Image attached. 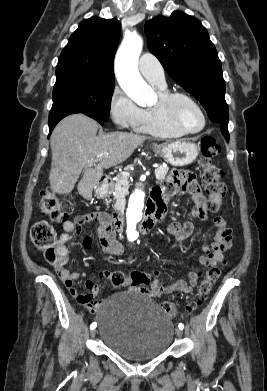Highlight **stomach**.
Here are the masks:
<instances>
[{
  "label": "stomach",
  "mask_w": 267,
  "mask_h": 391,
  "mask_svg": "<svg viewBox=\"0 0 267 391\" xmlns=\"http://www.w3.org/2000/svg\"><path fill=\"white\" fill-rule=\"evenodd\" d=\"M153 150L160 154L173 166H186L191 164L198 156V146L190 141L181 140L170 144L155 145ZM110 191L106 184L95 188V195L98 198L105 197Z\"/></svg>",
  "instance_id": "1"
}]
</instances>
